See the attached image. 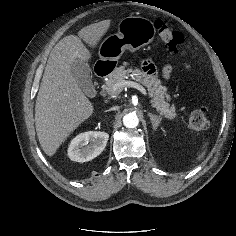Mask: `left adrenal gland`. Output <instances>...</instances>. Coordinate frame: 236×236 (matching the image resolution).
Listing matches in <instances>:
<instances>
[{"mask_svg": "<svg viewBox=\"0 0 236 236\" xmlns=\"http://www.w3.org/2000/svg\"><path fill=\"white\" fill-rule=\"evenodd\" d=\"M148 116L150 117L153 129L157 130L158 126H160L161 123L160 116L154 115L152 113H148Z\"/></svg>", "mask_w": 236, "mask_h": 236, "instance_id": "1", "label": "left adrenal gland"}]
</instances>
